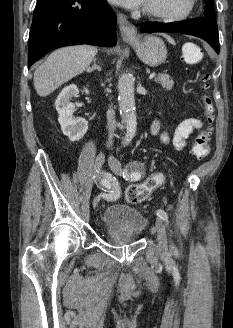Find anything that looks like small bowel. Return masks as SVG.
<instances>
[{
  "label": "small bowel",
  "instance_id": "1",
  "mask_svg": "<svg viewBox=\"0 0 233 328\" xmlns=\"http://www.w3.org/2000/svg\"><path fill=\"white\" fill-rule=\"evenodd\" d=\"M202 121L194 117L182 119L172 133L161 130V121L155 120L151 126L153 135H159L165 145H172L177 150H182L188 137L195 131L202 128Z\"/></svg>",
  "mask_w": 233,
  "mask_h": 328
}]
</instances>
